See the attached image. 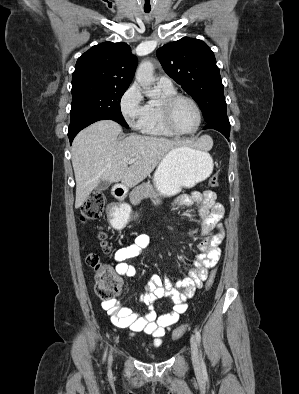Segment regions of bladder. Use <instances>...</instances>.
<instances>
[{"mask_svg":"<svg viewBox=\"0 0 299 394\" xmlns=\"http://www.w3.org/2000/svg\"><path fill=\"white\" fill-rule=\"evenodd\" d=\"M150 357H151V358H154V356H153V355H150Z\"/></svg>","mask_w":299,"mask_h":394,"instance_id":"31cf9c89","label":"bladder"}]
</instances>
